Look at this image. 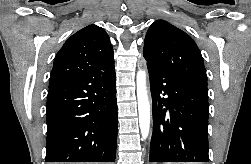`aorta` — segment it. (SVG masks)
Returning <instances> with one entry per match:
<instances>
[{"label":"aorta","instance_id":"1","mask_svg":"<svg viewBox=\"0 0 251 164\" xmlns=\"http://www.w3.org/2000/svg\"><path fill=\"white\" fill-rule=\"evenodd\" d=\"M139 127L142 138L146 139L150 130V103L146 87V72L139 70L136 76Z\"/></svg>","mask_w":251,"mask_h":164}]
</instances>
